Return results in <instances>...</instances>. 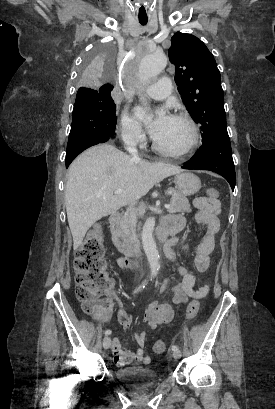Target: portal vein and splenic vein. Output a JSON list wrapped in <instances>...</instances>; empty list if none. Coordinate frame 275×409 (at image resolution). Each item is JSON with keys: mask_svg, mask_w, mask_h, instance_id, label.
Instances as JSON below:
<instances>
[{"mask_svg": "<svg viewBox=\"0 0 275 409\" xmlns=\"http://www.w3.org/2000/svg\"><path fill=\"white\" fill-rule=\"evenodd\" d=\"M119 192H123V188H118V190H115V194H119ZM165 209H170V205H164Z\"/></svg>", "mask_w": 275, "mask_h": 409, "instance_id": "obj_1", "label": "portal vein and splenic vein"}]
</instances>
